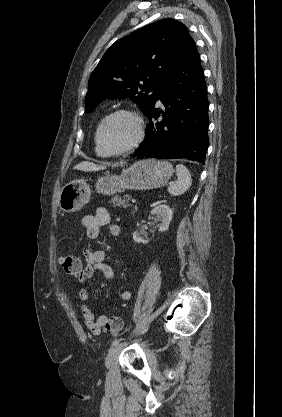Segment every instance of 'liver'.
Returning <instances> with one entry per match:
<instances>
[{
    "label": "liver",
    "instance_id": "liver-1",
    "mask_svg": "<svg viewBox=\"0 0 282 417\" xmlns=\"http://www.w3.org/2000/svg\"><path fill=\"white\" fill-rule=\"evenodd\" d=\"M74 168H77V170H86V172H90V170H104L106 166H103V164H95V162H89V160H83V162L76 164Z\"/></svg>",
    "mask_w": 282,
    "mask_h": 417
}]
</instances>
